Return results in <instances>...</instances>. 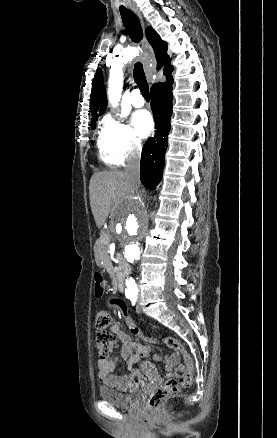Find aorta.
<instances>
[{"instance_id":"obj_1","label":"aorta","mask_w":277,"mask_h":438,"mask_svg":"<svg viewBox=\"0 0 277 438\" xmlns=\"http://www.w3.org/2000/svg\"><path fill=\"white\" fill-rule=\"evenodd\" d=\"M139 50L135 47L123 49L119 57H115L110 69L108 98L112 106H118L123 85V66L137 56ZM150 227V217L147 208L140 198L132 197L122 203L114 214V237L124 257L130 263L139 260L143 242ZM126 294H136L138 287L133 278L126 279Z\"/></svg>"}]
</instances>
